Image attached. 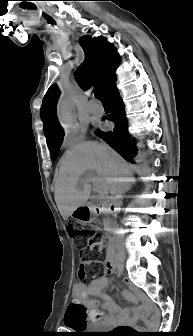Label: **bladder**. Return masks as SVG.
Masks as SVG:
<instances>
[{"instance_id": "31cf9c89", "label": "bladder", "mask_w": 193, "mask_h": 336, "mask_svg": "<svg viewBox=\"0 0 193 336\" xmlns=\"http://www.w3.org/2000/svg\"><path fill=\"white\" fill-rule=\"evenodd\" d=\"M85 327L87 329H95V328H98V329H102L98 323H89V324H85Z\"/></svg>"}]
</instances>
